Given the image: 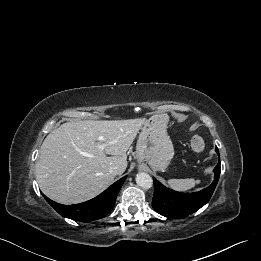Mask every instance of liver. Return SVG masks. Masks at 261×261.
Instances as JSON below:
<instances>
[{"instance_id":"liver-1","label":"liver","mask_w":261,"mask_h":261,"mask_svg":"<svg viewBox=\"0 0 261 261\" xmlns=\"http://www.w3.org/2000/svg\"><path fill=\"white\" fill-rule=\"evenodd\" d=\"M145 121H73L51 131L36 164L43 194L61 204H77L103 192L114 180L111 166H118L120 174L126 170V152Z\"/></svg>"}]
</instances>
